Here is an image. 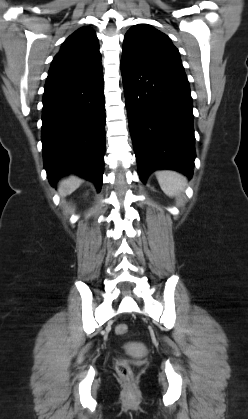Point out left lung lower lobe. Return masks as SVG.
Here are the masks:
<instances>
[{"label": "left lung lower lobe", "mask_w": 248, "mask_h": 419, "mask_svg": "<svg viewBox=\"0 0 248 419\" xmlns=\"http://www.w3.org/2000/svg\"><path fill=\"white\" fill-rule=\"evenodd\" d=\"M129 128L140 179L156 169L192 176L193 105L187 77L148 67L122 55Z\"/></svg>", "instance_id": "1"}]
</instances>
